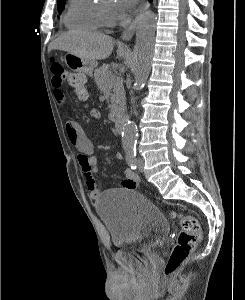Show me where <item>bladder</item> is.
Masks as SVG:
<instances>
[{
  "label": "bladder",
  "mask_w": 245,
  "mask_h": 300,
  "mask_svg": "<svg viewBox=\"0 0 245 300\" xmlns=\"http://www.w3.org/2000/svg\"><path fill=\"white\" fill-rule=\"evenodd\" d=\"M114 248L151 253L169 235L170 227L164 216L145 196L130 189L105 192L96 203Z\"/></svg>",
  "instance_id": "31cf9c89"
}]
</instances>
